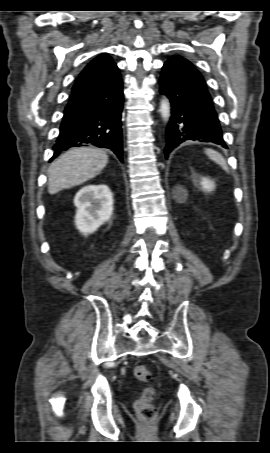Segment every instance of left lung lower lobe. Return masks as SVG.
Wrapping results in <instances>:
<instances>
[{
    "label": "left lung lower lobe",
    "instance_id": "obj_1",
    "mask_svg": "<svg viewBox=\"0 0 270 453\" xmlns=\"http://www.w3.org/2000/svg\"><path fill=\"white\" fill-rule=\"evenodd\" d=\"M160 92L167 95L172 106L166 129V158L173 149L189 140L212 142L227 148L206 82L190 61L174 56L164 64Z\"/></svg>",
    "mask_w": 270,
    "mask_h": 453
}]
</instances>
